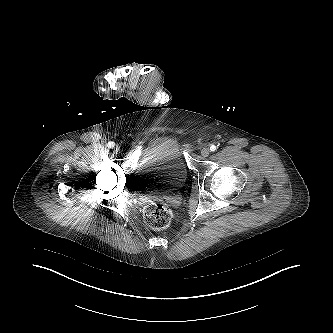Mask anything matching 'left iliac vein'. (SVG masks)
Listing matches in <instances>:
<instances>
[{
    "instance_id": "left-iliac-vein-1",
    "label": "left iliac vein",
    "mask_w": 333,
    "mask_h": 333,
    "mask_svg": "<svg viewBox=\"0 0 333 333\" xmlns=\"http://www.w3.org/2000/svg\"><path fill=\"white\" fill-rule=\"evenodd\" d=\"M209 153H210V150H209L208 147H204V148H202V150H201V155H202L203 157H207V156L209 155Z\"/></svg>"
}]
</instances>
